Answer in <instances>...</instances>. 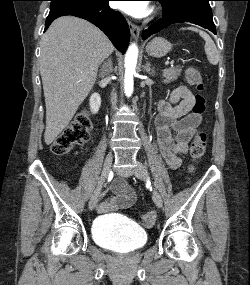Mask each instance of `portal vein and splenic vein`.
<instances>
[{
	"label": "portal vein and splenic vein",
	"mask_w": 250,
	"mask_h": 285,
	"mask_svg": "<svg viewBox=\"0 0 250 285\" xmlns=\"http://www.w3.org/2000/svg\"><path fill=\"white\" fill-rule=\"evenodd\" d=\"M165 64H166V65H169V64H171V65H172V64H173V62H170V63H169V62H166Z\"/></svg>",
	"instance_id": "obj_1"
}]
</instances>
